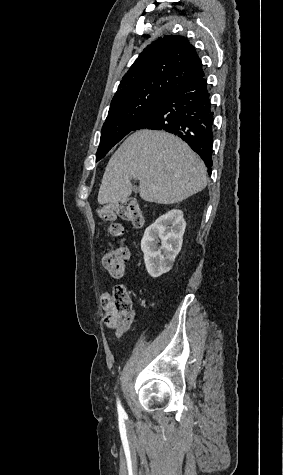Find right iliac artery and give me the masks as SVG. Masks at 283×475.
<instances>
[{
    "instance_id": "obj_1",
    "label": "right iliac artery",
    "mask_w": 283,
    "mask_h": 475,
    "mask_svg": "<svg viewBox=\"0 0 283 475\" xmlns=\"http://www.w3.org/2000/svg\"><path fill=\"white\" fill-rule=\"evenodd\" d=\"M117 408H118L119 417L125 418L126 413H125L124 409L122 408V406L120 404V401L117 402Z\"/></svg>"
}]
</instances>
